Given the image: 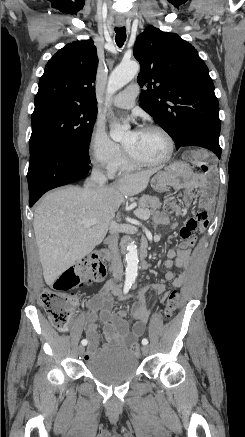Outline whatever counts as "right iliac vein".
Returning <instances> with one entry per match:
<instances>
[{
    "label": "right iliac vein",
    "mask_w": 245,
    "mask_h": 437,
    "mask_svg": "<svg viewBox=\"0 0 245 437\" xmlns=\"http://www.w3.org/2000/svg\"><path fill=\"white\" fill-rule=\"evenodd\" d=\"M84 350H85L84 346H79L78 347V354L82 355L84 353Z\"/></svg>",
    "instance_id": "right-iliac-vein-1"
}]
</instances>
